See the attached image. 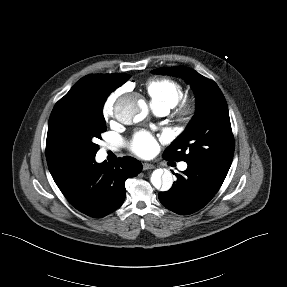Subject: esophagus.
<instances>
[{
  "instance_id": "1",
  "label": "esophagus",
  "mask_w": 287,
  "mask_h": 287,
  "mask_svg": "<svg viewBox=\"0 0 287 287\" xmlns=\"http://www.w3.org/2000/svg\"><path fill=\"white\" fill-rule=\"evenodd\" d=\"M155 166L153 164L150 163H143V170H150V169H154Z\"/></svg>"
}]
</instances>
